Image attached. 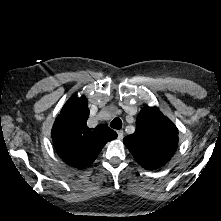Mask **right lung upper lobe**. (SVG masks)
Instances as JSON below:
<instances>
[{"label": "right lung upper lobe", "instance_id": "right-lung-upper-lobe-1", "mask_svg": "<svg viewBox=\"0 0 221 221\" xmlns=\"http://www.w3.org/2000/svg\"><path fill=\"white\" fill-rule=\"evenodd\" d=\"M88 117L86 97L73 96L63 106L52 128V139L59 156L78 169L90 165L104 145L117 138V133L106 124L88 128Z\"/></svg>", "mask_w": 221, "mask_h": 221}]
</instances>
